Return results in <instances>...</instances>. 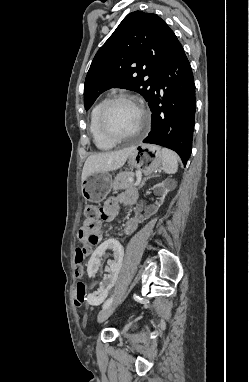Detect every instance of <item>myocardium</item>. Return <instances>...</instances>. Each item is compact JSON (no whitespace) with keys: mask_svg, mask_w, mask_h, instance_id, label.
<instances>
[{"mask_svg":"<svg viewBox=\"0 0 249 382\" xmlns=\"http://www.w3.org/2000/svg\"><path fill=\"white\" fill-rule=\"evenodd\" d=\"M118 102H130V103L134 104L140 112L141 120H140L139 126L137 128V131L131 135L116 136V135L111 133V131L108 129V127L106 125V115H107L109 108L113 104L118 103ZM148 122H149V117H148V114L145 111V109L134 98L127 96V95H116V96H113V97L109 98L108 100H106L103 103V105L101 106V109H100L99 115H98L99 129H100L102 135L112 143H119V142H123V141H128V140H132V139L138 137L147 128Z\"/></svg>","mask_w":249,"mask_h":382,"instance_id":"myocardium-1","label":"myocardium"}]
</instances>
